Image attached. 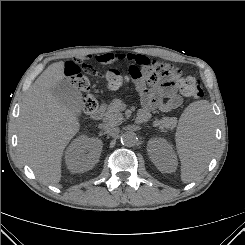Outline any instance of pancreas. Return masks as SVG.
Wrapping results in <instances>:
<instances>
[{
  "label": "pancreas",
  "instance_id": "obj_1",
  "mask_svg": "<svg viewBox=\"0 0 245 245\" xmlns=\"http://www.w3.org/2000/svg\"><path fill=\"white\" fill-rule=\"evenodd\" d=\"M122 101L120 99L113 100L107 111L103 115V121L107 125H119L123 116L121 114ZM177 125L176 118L163 117L160 120H155L153 126L159 127L160 129H173Z\"/></svg>",
  "mask_w": 245,
  "mask_h": 245
}]
</instances>
